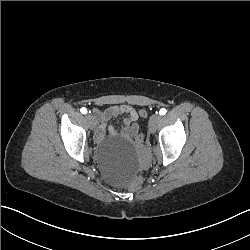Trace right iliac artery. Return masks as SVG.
<instances>
[{
	"label": "right iliac artery",
	"mask_w": 250,
	"mask_h": 250,
	"mask_svg": "<svg viewBox=\"0 0 250 250\" xmlns=\"http://www.w3.org/2000/svg\"><path fill=\"white\" fill-rule=\"evenodd\" d=\"M80 111H81L82 114H86L87 113V109L85 107L81 108Z\"/></svg>",
	"instance_id": "right-iliac-artery-1"
}]
</instances>
